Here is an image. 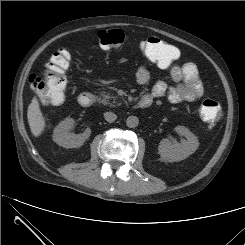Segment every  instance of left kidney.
<instances>
[{
  "mask_svg": "<svg viewBox=\"0 0 245 245\" xmlns=\"http://www.w3.org/2000/svg\"><path fill=\"white\" fill-rule=\"evenodd\" d=\"M174 131L186 139H182L179 143L166 138L159 143L158 152L161 159L168 162L184 160L193 154L199 146L197 137L184 126H176Z\"/></svg>",
  "mask_w": 245,
  "mask_h": 245,
  "instance_id": "left-kidney-1",
  "label": "left kidney"
}]
</instances>
